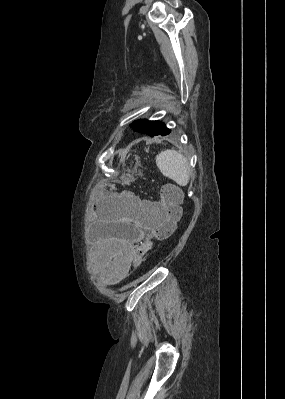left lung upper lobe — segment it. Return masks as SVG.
Returning a JSON list of instances; mask_svg holds the SVG:
<instances>
[{
    "mask_svg": "<svg viewBox=\"0 0 285 399\" xmlns=\"http://www.w3.org/2000/svg\"><path fill=\"white\" fill-rule=\"evenodd\" d=\"M134 131L148 134L149 136L161 135L164 136L170 132L163 122L160 121H147L137 120L131 124Z\"/></svg>",
    "mask_w": 285,
    "mask_h": 399,
    "instance_id": "5c2ea615",
    "label": "left lung upper lobe"
}]
</instances>
